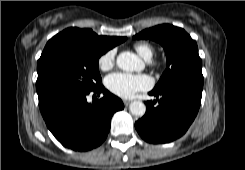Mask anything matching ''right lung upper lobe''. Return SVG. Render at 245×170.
Segmentation results:
<instances>
[{
	"mask_svg": "<svg viewBox=\"0 0 245 170\" xmlns=\"http://www.w3.org/2000/svg\"><path fill=\"white\" fill-rule=\"evenodd\" d=\"M51 40H64L78 43L96 51L106 53L124 42L126 37L98 36L91 29L68 28L55 35Z\"/></svg>",
	"mask_w": 245,
	"mask_h": 170,
	"instance_id": "right-lung-upper-lobe-1",
	"label": "right lung upper lobe"
}]
</instances>
